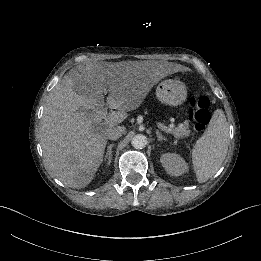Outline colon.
Masks as SVG:
<instances>
[{
    "label": "colon",
    "instance_id": "5ec220e1",
    "mask_svg": "<svg viewBox=\"0 0 261 261\" xmlns=\"http://www.w3.org/2000/svg\"><path fill=\"white\" fill-rule=\"evenodd\" d=\"M187 120L196 132L203 131L210 121L211 102L204 95L192 96L188 99Z\"/></svg>",
    "mask_w": 261,
    "mask_h": 261
}]
</instances>
